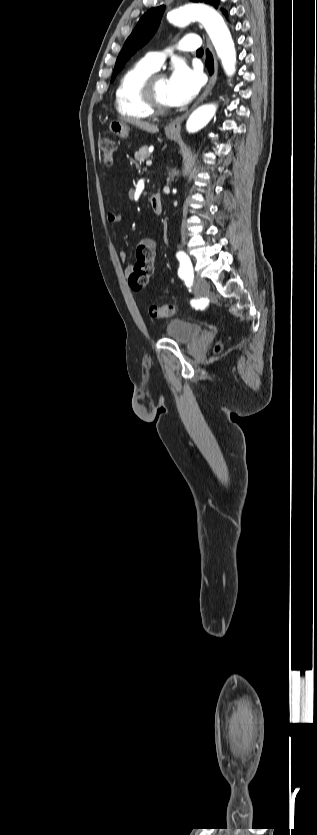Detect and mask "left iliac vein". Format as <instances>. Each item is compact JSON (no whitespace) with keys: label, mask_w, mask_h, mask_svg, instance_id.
I'll return each instance as SVG.
<instances>
[{"label":"left iliac vein","mask_w":317,"mask_h":835,"mask_svg":"<svg viewBox=\"0 0 317 835\" xmlns=\"http://www.w3.org/2000/svg\"><path fill=\"white\" fill-rule=\"evenodd\" d=\"M193 290L198 297L206 295L209 291L208 282L200 276H195Z\"/></svg>","instance_id":"obj_1"}]
</instances>
